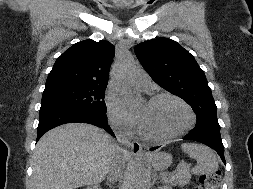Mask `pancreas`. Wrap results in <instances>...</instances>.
Listing matches in <instances>:
<instances>
[{
	"mask_svg": "<svg viewBox=\"0 0 253 189\" xmlns=\"http://www.w3.org/2000/svg\"><path fill=\"white\" fill-rule=\"evenodd\" d=\"M162 179L171 185H187L191 179V174L188 168L176 171L174 173H162Z\"/></svg>",
	"mask_w": 253,
	"mask_h": 189,
	"instance_id": "obj_1",
	"label": "pancreas"
}]
</instances>
